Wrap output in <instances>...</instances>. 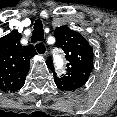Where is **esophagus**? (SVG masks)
<instances>
[{
	"label": "esophagus",
	"instance_id": "34e87169",
	"mask_svg": "<svg viewBox=\"0 0 117 117\" xmlns=\"http://www.w3.org/2000/svg\"><path fill=\"white\" fill-rule=\"evenodd\" d=\"M37 44H40L39 50H37V48H36V45H37ZM36 45H35V48H36L37 53H38L39 55H41V56H45V55L47 54L46 45H45L44 43H42V42H37Z\"/></svg>",
	"mask_w": 117,
	"mask_h": 117
}]
</instances>
